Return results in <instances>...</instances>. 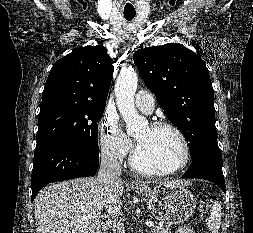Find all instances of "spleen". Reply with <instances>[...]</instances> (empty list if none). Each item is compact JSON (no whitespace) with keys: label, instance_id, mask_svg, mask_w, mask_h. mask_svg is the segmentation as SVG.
<instances>
[{"label":"spleen","instance_id":"spleen-1","mask_svg":"<svg viewBox=\"0 0 253 233\" xmlns=\"http://www.w3.org/2000/svg\"><path fill=\"white\" fill-rule=\"evenodd\" d=\"M206 224L212 233H218L221 225V205L218 201L214 202Z\"/></svg>","mask_w":253,"mask_h":233}]
</instances>
